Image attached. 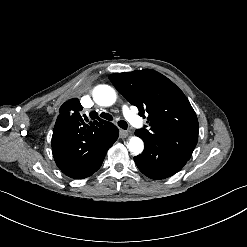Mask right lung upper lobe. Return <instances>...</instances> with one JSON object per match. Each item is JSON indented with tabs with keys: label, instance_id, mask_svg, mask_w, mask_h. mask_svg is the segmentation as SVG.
Listing matches in <instances>:
<instances>
[{
	"label": "right lung upper lobe",
	"instance_id": "obj_1",
	"mask_svg": "<svg viewBox=\"0 0 247 247\" xmlns=\"http://www.w3.org/2000/svg\"><path fill=\"white\" fill-rule=\"evenodd\" d=\"M82 106L77 98L68 100L60 108V114L55 123L53 136L57 137L62 133H72L76 139L85 144L95 145L104 139H109L117 127L112 123L103 121L98 118V121L88 122L80 115ZM91 115L97 116L96 112ZM52 136V137H53Z\"/></svg>",
	"mask_w": 247,
	"mask_h": 247
}]
</instances>
